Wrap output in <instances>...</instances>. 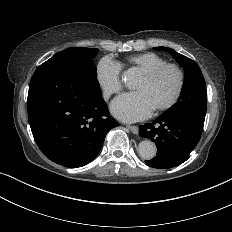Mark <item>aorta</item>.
Returning a JSON list of instances; mask_svg holds the SVG:
<instances>
[{
    "label": "aorta",
    "instance_id": "762f6f07",
    "mask_svg": "<svg viewBox=\"0 0 232 232\" xmlns=\"http://www.w3.org/2000/svg\"><path fill=\"white\" fill-rule=\"evenodd\" d=\"M138 151L141 158L150 160L156 156L157 148L150 140H143L138 145Z\"/></svg>",
    "mask_w": 232,
    "mask_h": 232
}]
</instances>
